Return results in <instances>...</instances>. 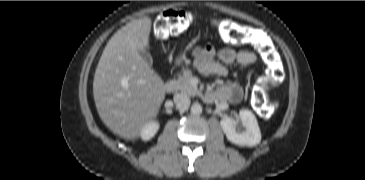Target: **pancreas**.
<instances>
[{
    "instance_id": "obj_1",
    "label": "pancreas",
    "mask_w": 365,
    "mask_h": 180,
    "mask_svg": "<svg viewBox=\"0 0 365 180\" xmlns=\"http://www.w3.org/2000/svg\"><path fill=\"white\" fill-rule=\"evenodd\" d=\"M193 75L190 70H184L183 74L178 77L177 80H174L175 89L184 93L188 96H196L199 94V91L196 86L191 84V79Z\"/></svg>"
}]
</instances>
